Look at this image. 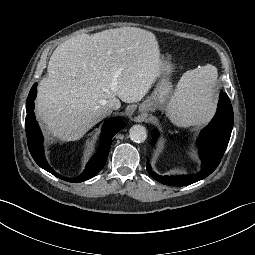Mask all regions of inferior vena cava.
Instances as JSON below:
<instances>
[{
    "instance_id": "1",
    "label": "inferior vena cava",
    "mask_w": 255,
    "mask_h": 255,
    "mask_svg": "<svg viewBox=\"0 0 255 255\" xmlns=\"http://www.w3.org/2000/svg\"><path fill=\"white\" fill-rule=\"evenodd\" d=\"M107 106L112 109V110H117L120 108L121 106V103H120V100L117 99V98H111L107 101Z\"/></svg>"
}]
</instances>
